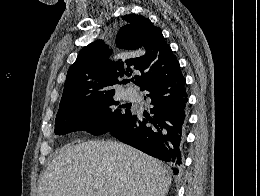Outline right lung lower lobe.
<instances>
[{
    "label": "right lung lower lobe",
    "mask_w": 260,
    "mask_h": 196,
    "mask_svg": "<svg viewBox=\"0 0 260 196\" xmlns=\"http://www.w3.org/2000/svg\"><path fill=\"white\" fill-rule=\"evenodd\" d=\"M141 90L151 103L149 114L134 113L110 134L148 155L168 162L179 173L186 125V79L179 70L171 77Z\"/></svg>",
    "instance_id": "1"
}]
</instances>
